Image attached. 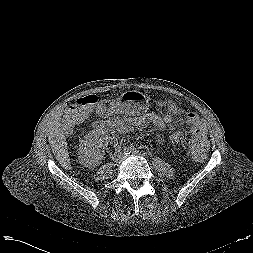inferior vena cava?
Masks as SVG:
<instances>
[{"label": "inferior vena cava", "mask_w": 253, "mask_h": 253, "mask_svg": "<svg viewBox=\"0 0 253 253\" xmlns=\"http://www.w3.org/2000/svg\"><path fill=\"white\" fill-rule=\"evenodd\" d=\"M122 157H123V154L121 152L115 153L113 156V159L117 161V160H120Z\"/></svg>", "instance_id": "602c4592"}]
</instances>
